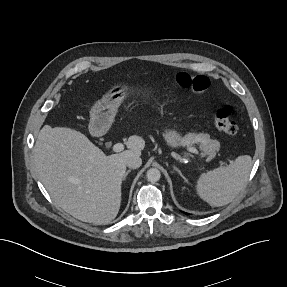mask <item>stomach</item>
I'll return each mask as SVG.
<instances>
[{
	"label": "stomach",
	"mask_w": 287,
	"mask_h": 287,
	"mask_svg": "<svg viewBox=\"0 0 287 287\" xmlns=\"http://www.w3.org/2000/svg\"><path fill=\"white\" fill-rule=\"evenodd\" d=\"M149 90L133 89L127 84H118L113 86L103 97L94 104L90 111V130L96 133H103L107 131L121 103L130 95H142L149 97ZM166 143L171 147L181 145L182 136L176 130L169 129L163 133Z\"/></svg>",
	"instance_id": "stomach-1"
}]
</instances>
